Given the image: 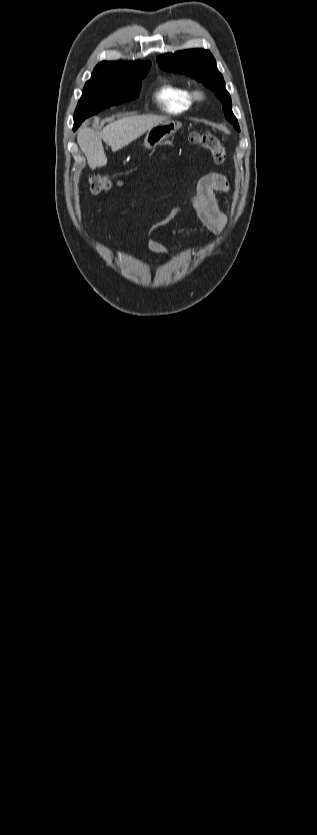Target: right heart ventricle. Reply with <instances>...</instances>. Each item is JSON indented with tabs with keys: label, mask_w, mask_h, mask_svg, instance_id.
Wrapping results in <instances>:
<instances>
[{
	"label": "right heart ventricle",
	"mask_w": 317,
	"mask_h": 835,
	"mask_svg": "<svg viewBox=\"0 0 317 835\" xmlns=\"http://www.w3.org/2000/svg\"><path fill=\"white\" fill-rule=\"evenodd\" d=\"M154 98L161 109L170 114L182 113L192 107L189 88L170 79L161 82L154 92Z\"/></svg>",
	"instance_id": "1"
}]
</instances>
